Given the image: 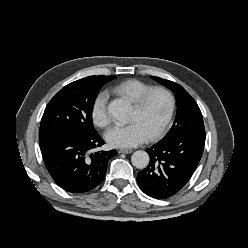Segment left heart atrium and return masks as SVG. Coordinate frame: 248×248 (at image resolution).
I'll list each match as a JSON object with an SVG mask.
<instances>
[{
	"mask_svg": "<svg viewBox=\"0 0 248 248\" xmlns=\"http://www.w3.org/2000/svg\"><path fill=\"white\" fill-rule=\"evenodd\" d=\"M105 138L113 147L128 148L146 142L149 134L139 122L134 121L125 126H115L109 129Z\"/></svg>",
	"mask_w": 248,
	"mask_h": 248,
	"instance_id": "left-heart-atrium-1",
	"label": "left heart atrium"
}]
</instances>
